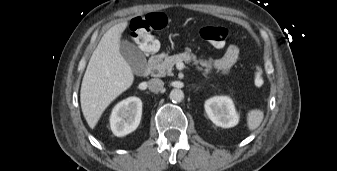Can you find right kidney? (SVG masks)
I'll return each instance as SVG.
<instances>
[{
    "mask_svg": "<svg viewBox=\"0 0 337 171\" xmlns=\"http://www.w3.org/2000/svg\"><path fill=\"white\" fill-rule=\"evenodd\" d=\"M142 116V101L129 97L119 102L112 110L110 127L115 136H125L138 127Z\"/></svg>",
    "mask_w": 337,
    "mask_h": 171,
    "instance_id": "obj_1",
    "label": "right kidney"
}]
</instances>
